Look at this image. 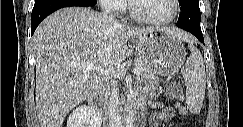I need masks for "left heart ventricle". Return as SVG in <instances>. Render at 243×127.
<instances>
[{"label":"left heart ventricle","instance_id":"left-heart-ventricle-1","mask_svg":"<svg viewBox=\"0 0 243 127\" xmlns=\"http://www.w3.org/2000/svg\"><path fill=\"white\" fill-rule=\"evenodd\" d=\"M135 8L139 15L150 19L165 18L172 12L170 0H136Z\"/></svg>","mask_w":243,"mask_h":127}]
</instances>
